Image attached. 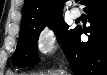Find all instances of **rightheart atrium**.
Instances as JSON below:
<instances>
[{
  "mask_svg": "<svg viewBox=\"0 0 107 75\" xmlns=\"http://www.w3.org/2000/svg\"><path fill=\"white\" fill-rule=\"evenodd\" d=\"M58 43L57 34L51 25L44 26L37 35L36 46L41 56L51 55Z\"/></svg>",
  "mask_w": 107,
  "mask_h": 75,
  "instance_id": "d8ad5b80",
  "label": "right heart atrium"
}]
</instances>
